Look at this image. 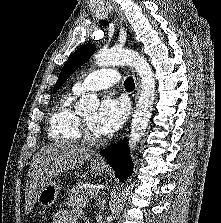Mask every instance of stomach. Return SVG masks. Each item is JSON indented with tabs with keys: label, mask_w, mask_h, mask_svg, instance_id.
<instances>
[{
	"label": "stomach",
	"mask_w": 221,
	"mask_h": 223,
	"mask_svg": "<svg viewBox=\"0 0 221 223\" xmlns=\"http://www.w3.org/2000/svg\"><path fill=\"white\" fill-rule=\"evenodd\" d=\"M91 171L95 175H101L105 171L106 167L104 165H101L96 162H92L91 165ZM60 184L49 181L46 186L39 192L38 194V202L39 204L44 208H50L52 207L55 202L57 201L59 192H60Z\"/></svg>",
	"instance_id": "1"
}]
</instances>
